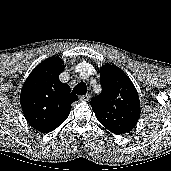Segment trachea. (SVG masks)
Masks as SVG:
<instances>
[{
    "instance_id": "obj_1",
    "label": "trachea",
    "mask_w": 171,
    "mask_h": 171,
    "mask_svg": "<svg viewBox=\"0 0 171 171\" xmlns=\"http://www.w3.org/2000/svg\"><path fill=\"white\" fill-rule=\"evenodd\" d=\"M73 92L78 95H86L87 87L85 83H78L74 88Z\"/></svg>"
}]
</instances>
